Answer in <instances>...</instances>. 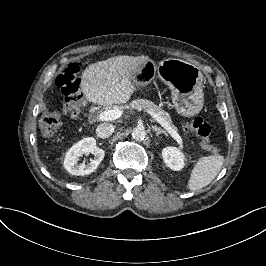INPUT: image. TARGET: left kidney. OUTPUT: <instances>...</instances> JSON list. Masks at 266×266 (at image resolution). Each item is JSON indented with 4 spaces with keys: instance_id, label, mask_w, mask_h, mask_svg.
<instances>
[{
    "instance_id": "1",
    "label": "left kidney",
    "mask_w": 266,
    "mask_h": 266,
    "mask_svg": "<svg viewBox=\"0 0 266 266\" xmlns=\"http://www.w3.org/2000/svg\"><path fill=\"white\" fill-rule=\"evenodd\" d=\"M162 156L166 166L174 171H180L185 166V155L177 147H165Z\"/></svg>"
}]
</instances>
